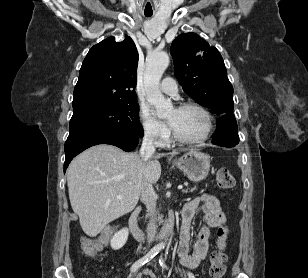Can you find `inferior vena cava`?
<instances>
[{"mask_svg":"<svg viewBox=\"0 0 308 278\" xmlns=\"http://www.w3.org/2000/svg\"><path fill=\"white\" fill-rule=\"evenodd\" d=\"M154 152V135L148 132L143 138L140 149V156L144 161H146L154 154ZM156 199L157 197L152 184L148 182L144 183L141 188V200L146 205L148 216L150 217V221L147 226L149 243L152 242L157 231V224L155 218Z\"/></svg>","mask_w":308,"mask_h":278,"instance_id":"602c4592","label":"inferior vena cava"}]
</instances>
